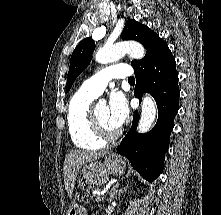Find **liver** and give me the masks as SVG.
I'll use <instances>...</instances> for the list:
<instances>
[{
    "label": "liver",
    "instance_id": "obj_1",
    "mask_svg": "<svg viewBox=\"0 0 221 215\" xmlns=\"http://www.w3.org/2000/svg\"><path fill=\"white\" fill-rule=\"evenodd\" d=\"M106 152L71 150L64 160L63 176L65 189L71 198L79 169L88 162L103 157Z\"/></svg>",
    "mask_w": 221,
    "mask_h": 215
}]
</instances>
